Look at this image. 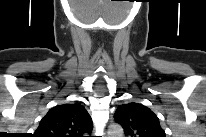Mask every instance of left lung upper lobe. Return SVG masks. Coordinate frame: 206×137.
<instances>
[{"instance_id": "left-lung-upper-lobe-1", "label": "left lung upper lobe", "mask_w": 206, "mask_h": 137, "mask_svg": "<svg viewBox=\"0 0 206 137\" xmlns=\"http://www.w3.org/2000/svg\"><path fill=\"white\" fill-rule=\"evenodd\" d=\"M114 118L128 137H165L158 117L141 104L128 103L119 106Z\"/></svg>"}]
</instances>
